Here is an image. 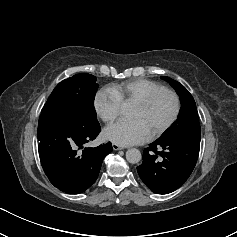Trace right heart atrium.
<instances>
[{
	"instance_id": "1",
	"label": "right heart atrium",
	"mask_w": 237,
	"mask_h": 237,
	"mask_svg": "<svg viewBox=\"0 0 237 237\" xmlns=\"http://www.w3.org/2000/svg\"><path fill=\"white\" fill-rule=\"evenodd\" d=\"M121 104L117 94L110 88L99 90L94 98L95 112L105 123H111L118 117Z\"/></svg>"
}]
</instances>
